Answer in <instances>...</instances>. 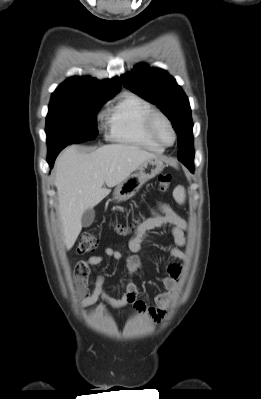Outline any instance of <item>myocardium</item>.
<instances>
[{"mask_svg":"<svg viewBox=\"0 0 261 399\" xmlns=\"http://www.w3.org/2000/svg\"><path fill=\"white\" fill-rule=\"evenodd\" d=\"M158 118L163 119L168 126L170 127L172 134H173V141L170 144H166L164 143L160 137L158 136L157 132H156V120ZM146 130L149 134V136L160 146H162L163 148H168L174 145V143L177 140V132L176 129L171 121V119L163 112L153 109L146 117Z\"/></svg>","mask_w":261,"mask_h":399,"instance_id":"myocardium-1","label":"myocardium"}]
</instances>
